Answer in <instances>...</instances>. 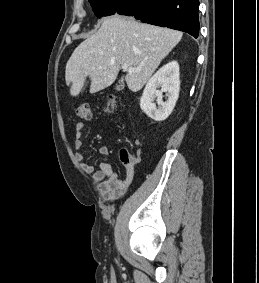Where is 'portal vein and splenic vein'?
Masks as SVG:
<instances>
[{
    "mask_svg": "<svg viewBox=\"0 0 259 283\" xmlns=\"http://www.w3.org/2000/svg\"><path fill=\"white\" fill-rule=\"evenodd\" d=\"M122 69H123L124 71H129V72H137V71H140V69L129 67L127 64H122Z\"/></svg>",
    "mask_w": 259,
    "mask_h": 283,
    "instance_id": "1",
    "label": "portal vein and splenic vein"
}]
</instances>
